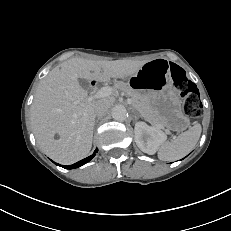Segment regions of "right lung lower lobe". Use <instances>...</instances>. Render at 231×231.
<instances>
[{"label": "right lung lower lobe", "mask_w": 231, "mask_h": 231, "mask_svg": "<svg viewBox=\"0 0 231 231\" xmlns=\"http://www.w3.org/2000/svg\"><path fill=\"white\" fill-rule=\"evenodd\" d=\"M96 152H98V149H96V150L94 151V154H92L91 156H89V157H87V158H85V159H82L81 161H79V162H77V163H75V164H73V165H70V166H62V167L65 168V169H74V168H78V167H80V166L86 164L87 162H89V161L95 156V153H96ZM57 165H59V164H57ZM59 166H61V165H59Z\"/></svg>", "instance_id": "obj_1"}]
</instances>
